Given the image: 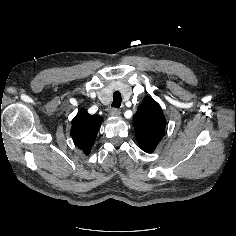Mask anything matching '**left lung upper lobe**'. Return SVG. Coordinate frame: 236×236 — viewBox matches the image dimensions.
Returning a JSON list of instances; mask_svg holds the SVG:
<instances>
[{"label":"left lung upper lobe","mask_w":236,"mask_h":236,"mask_svg":"<svg viewBox=\"0 0 236 236\" xmlns=\"http://www.w3.org/2000/svg\"><path fill=\"white\" fill-rule=\"evenodd\" d=\"M133 120L139 146L147 153L153 152L165 134L166 120L161 106L151 97H145Z\"/></svg>","instance_id":"obj_1"}]
</instances>
